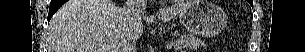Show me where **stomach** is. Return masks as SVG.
<instances>
[{"label":"stomach","mask_w":305,"mask_h":52,"mask_svg":"<svg viewBox=\"0 0 305 52\" xmlns=\"http://www.w3.org/2000/svg\"><path fill=\"white\" fill-rule=\"evenodd\" d=\"M181 24L190 32L202 36H214L226 26L224 11L207 0H194L179 12Z\"/></svg>","instance_id":"obj_1"}]
</instances>
